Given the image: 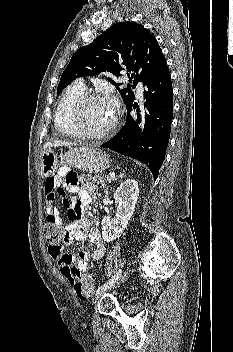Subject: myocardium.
<instances>
[{"mask_svg": "<svg viewBox=\"0 0 233 352\" xmlns=\"http://www.w3.org/2000/svg\"><path fill=\"white\" fill-rule=\"evenodd\" d=\"M92 100H105L101 95L97 93H84L81 95L73 104L71 111H70V116H69V121L70 125L75 132V134L79 137L82 138H88V139H100L108 136L110 133H112L117 124H118V112L117 110L114 111V118L112 120V123L104 130L98 131V132H90L85 129H83L81 123H80V116H81V111L83 106Z\"/></svg>", "mask_w": 233, "mask_h": 352, "instance_id": "f54148a6", "label": "myocardium"}]
</instances>
